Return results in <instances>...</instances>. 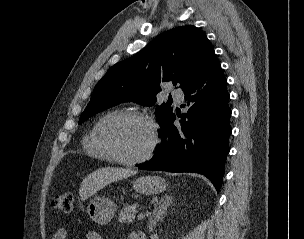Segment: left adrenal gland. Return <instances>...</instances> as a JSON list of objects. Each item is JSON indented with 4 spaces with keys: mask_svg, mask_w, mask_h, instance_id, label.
<instances>
[{
    "mask_svg": "<svg viewBox=\"0 0 304 239\" xmlns=\"http://www.w3.org/2000/svg\"><path fill=\"white\" fill-rule=\"evenodd\" d=\"M172 203V197L171 196H163L159 201H157L154 205V210L152 213V216H150L149 219V231L152 232L154 226L159 222V220L163 219V215L166 213L167 208Z\"/></svg>",
    "mask_w": 304,
    "mask_h": 239,
    "instance_id": "obj_1",
    "label": "left adrenal gland"
}]
</instances>
